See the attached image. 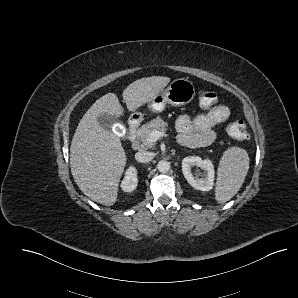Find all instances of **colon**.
Returning a JSON list of instances; mask_svg holds the SVG:
<instances>
[{"label": "colon", "mask_w": 298, "mask_h": 298, "mask_svg": "<svg viewBox=\"0 0 298 298\" xmlns=\"http://www.w3.org/2000/svg\"><path fill=\"white\" fill-rule=\"evenodd\" d=\"M198 100L203 108H209L217 102V96L209 89H201L198 91ZM227 133L238 141H246L249 138L248 128L242 120H235L230 123L227 127Z\"/></svg>", "instance_id": "5ec220e1"}]
</instances>
